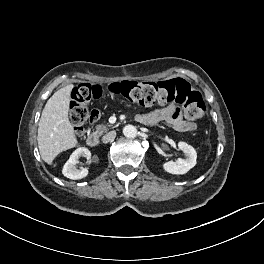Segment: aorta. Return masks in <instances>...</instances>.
<instances>
[{
	"mask_svg": "<svg viewBox=\"0 0 264 264\" xmlns=\"http://www.w3.org/2000/svg\"><path fill=\"white\" fill-rule=\"evenodd\" d=\"M123 134L127 138H135L137 136V129L133 125H126L123 128Z\"/></svg>",
	"mask_w": 264,
	"mask_h": 264,
	"instance_id": "aorta-1",
	"label": "aorta"
}]
</instances>
